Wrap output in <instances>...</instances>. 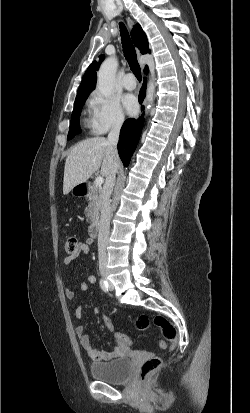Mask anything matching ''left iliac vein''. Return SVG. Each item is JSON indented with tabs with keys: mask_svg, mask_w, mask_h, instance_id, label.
<instances>
[{
	"mask_svg": "<svg viewBox=\"0 0 250 413\" xmlns=\"http://www.w3.org/2000/svg\"><path fill=\"white\" fill-rule=\"evenodd\" d=\"M109 288H110V290H112V286H111V285H109Z\"/></svg>",
	"mask_w": 250,
	"mask_h": 413,
	"instance_id": "obj_1",
	"label": "left iliac vein"
}]
</instances>
